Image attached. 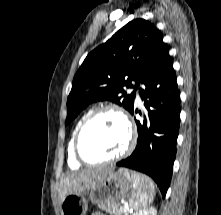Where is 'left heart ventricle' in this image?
Returning a JSON list of instances; mask_svg holds the SVG:
<instances>
[{
    "label": "left heart ventricle",
    "mask_w": 221,
    "mask_h": 215,
    "mask_svg": "<svg viewBox=\"0 0 221 215\" xmlns=\"http://www.w3.org/2000/svg\"><path fill=\"white\" fill-rule=\"evenodd\" d=\"M127 130L122 120L107 112L95 118L84 131L81 149L92 160H102L119 153L126 145Z\"/></svg>",
    "instance_id": "left-heart-ventricle-1"
}]
</instances>
